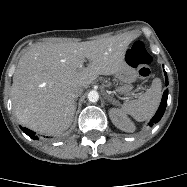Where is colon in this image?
Wrapping results in <instances>:
<instances>
[{
    "instance_id": "1",
    "label": "colon",
    "mask_w": 187,
    "mask_h": 187,
    "mask_svg": "<svg viewBox=\"0 0 187 187\" xmlns=\"http://www.w3.org/2000/svg\"><path fill=\"white\" fill-rule=\"evenodd\" d=\"M126 59L129 65L138 69V75L141 80H145L150 76L152 57L141 41H136L131 46L127 52Z\"/></svg>"
}]
</instances>
